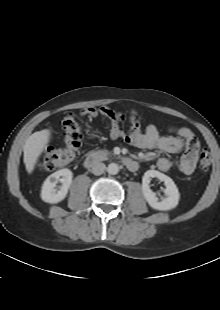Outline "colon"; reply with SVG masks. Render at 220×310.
Returning <instances> with one entry per match:
<instances>
[{
  "mask_svg": "<svg viewBox=\"0 0 220 310\" xmlns=\"http://www.w3.org/2000/svg\"><path fill=\"white\" fill-rule=\"evenodd\" d=\"M123 116L117 114V119H122ZM134 125L140 124V119L137 116L131 118ZM64 130V145L62 147H49L44 152L38 165L39 168L52 171L59 167L70 164L75 160L82 145L83 135L80 124L72 115H68L62 122ZM212 164V155L202 149L199 153V165L202 169H208Z\"/></svg>",
  "mask_w": 220,
  "mask_h": 310,
  "instance_id": "5ec220e1",
  "label": "colon"
}]
</instances>
